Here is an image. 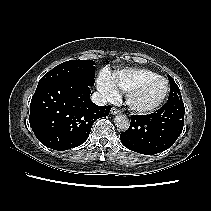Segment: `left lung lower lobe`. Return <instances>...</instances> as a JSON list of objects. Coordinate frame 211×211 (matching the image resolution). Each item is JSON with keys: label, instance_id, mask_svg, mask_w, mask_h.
<instances>
[{"label": "left lung lower lobe", "instance_id": "left-lung-lower-lobe-1", "mask_svg": "<svg viewBox=\"0 0 211 211\" xmlns=\"http://www.w3.org/2000/svg\"><path fill=\"white\" fill-rule=\"evenodd\" d=\"M185 108L182 99L168 101L149 115H132L122 144L135 152L153 155L171 147L182 132Z\"/></svg>", "mask_w": 211, "mask_h": 211}]
</instances>
